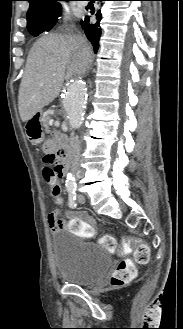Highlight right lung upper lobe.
<instances>
[{
  "label": "right lung upper lobe",
  "mask_w": 183,
  "mask_h": 329,
  "mask_svg": "<svg viewBox=\"0 0 183 329\" xmlns=\"http://www.w3.org/2000/svg\"><path fill=\"white\" fill-rule=\"evenodd\" d=\"M30 3L27 12V28L41 22L52 21L56 19L61 11V5L58 1L69 0H27Z\"/></svg>",
  "instance_id": "cb5924a9"
}]
</instances>
